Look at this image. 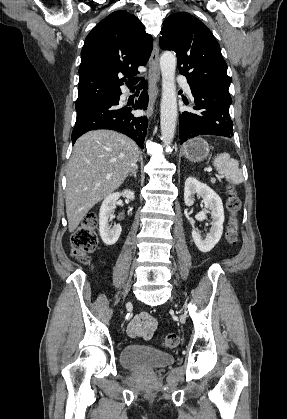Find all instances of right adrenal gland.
I'll list each match as a JSON object with an SVG mask.
<instances>
[{"label": "right adrenal gland", "instance_id": "1", "mask_svg": "<svg viewBox=\"0 0 287 419\" xmlns=\"http://www.w3.org/2000/svg\"><path fill=\"white\" fill-rule=\"evenodd\" d=\"M137 170H138V166L135 165L132 169V171L130 172L129 176H134L135 178L137 177Z\"/></svg>", "mask_w": 287, "mask_h": 419}]
</instances>
